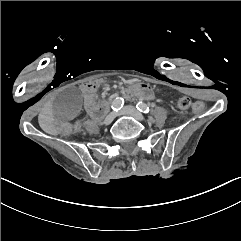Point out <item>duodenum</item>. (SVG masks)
<instances>
[{
  "mask_svg": "<svg viewBox=\"0 0 241 241\" xmlns=\"http://www.w3.org/2000/svg\"><path fill=\"white\" fill-rule=\"evenodd\" d=\"M106 107H107L106 104H101L98 107H96V109L92 113L93 118H96V119L100 118L105 112Z\"/></svg>",
  "mask_w": 241,
  "mask_h": 241,
  "instance_id": "duodenum-1",
  "label": "duodenum"
}]
</instances>
